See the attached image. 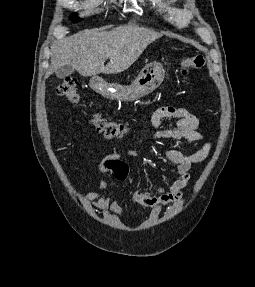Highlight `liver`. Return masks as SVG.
<instances>
[{
  "mask_svg": "<svg viewBox=\"0 0 255 287\" xmlns=\"http://www.w3.org/2000/svg\"><path fill=\"white\" fill-rule=\"evenodd\" d=\"M161 36L138 26H120L110 32L84 30L52 46L54 56L51 64L54 70L61 66H73L80 76L120 74ZM108 58L110 62L104 66Z\"/></svg>",
  "mask_w": 255,
  "mask_h": 287,
  "instance_id": "1",
  "label": "liver"
}]
</instances>
